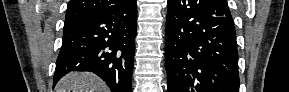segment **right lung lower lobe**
Segmentation results:
<instances>
[{
  "label": "right lung lower lobe",
  "instance_id": "obj_1",
  "mask_svg": "<svg viewBox=\"0 0 289 92\" xmlns=\"http://www.w3.org/2000/svg\"><path fill=\"white\" fill-rule=\"evenodd\" d=\"M137 4L78 19L63 29L53 85L72 71L100 76L112 92H131Z\"/></svg>",
  "mask_w": 289,
  "mask_h": 92
}]
</instances>
